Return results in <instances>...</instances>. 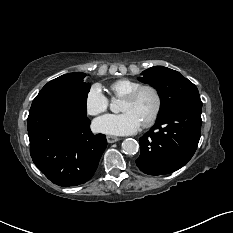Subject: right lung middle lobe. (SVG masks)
I'll return each mask as SVG.
<instances>
[{
	"label": "right lung middle lobe",
	"instance_id": "obj_1",
	"mask_svg": "<svg viewBox=\"0 0 233 233\" xmlns=\"http://www.w3.org/2000/svg\"><path fill=\"white\" fill-rule=\"evenodd\" d=\"M85 76V73H69L51 80L33 100L29 113L44 106H66L86 115L91 85L84 82Z\"/></svg>",
	"mask_w": 233,
	"mask_h": 233
}]
</instances>
